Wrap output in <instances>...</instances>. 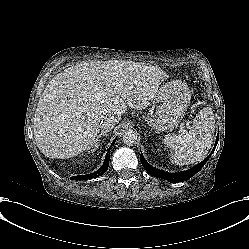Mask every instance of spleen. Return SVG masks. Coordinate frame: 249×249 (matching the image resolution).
<instances>
[{"label": "spleen", "instance_id": "obj_1", "mask_svg": "<svg viewBox=\"0 0 249 249\" xmlns=\"http://www.w3.org/2000/svg\"><path fill=\"white\" fill-rule=\"evenodd\" d=\"M214 124L207 110H201L193 121L189 132L168 135L163 139L170 149L172 162L187 165L201 160L207 154L213 141Z\"/></svg>", "mask_w": 249, "mask_h": 249}]
</instances>
